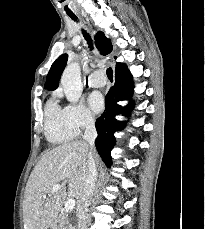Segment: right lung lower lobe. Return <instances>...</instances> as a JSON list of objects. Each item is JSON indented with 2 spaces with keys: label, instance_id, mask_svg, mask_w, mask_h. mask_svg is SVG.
Instances as JSON below:
<instances>
[{
  "label": "right lung lower lobe",
  "instance_id": "obj_1",
  "mask_svg": "<svg viewBox=\"0 0 205 229\" xmlns=\"http://www.w3.org/2000/svg\"><path fill=\"white\" fill-rule=\"evenodd\" d=\"M132 93V76L127 66L124 64L116 66L115 84L105 97V112L96 120L98 137L95 141V146L107 167H110L112 163L110 152L115 145L114 132L123 128L124 125V123L115 119V116L121 112V106L117 102L131 97ZM132 107L133 105L129 104L122 112L128 114Z\"/></svg>",
  "mask_w": 205,
  "mask_h": 229
}]
</instances>
